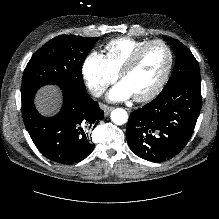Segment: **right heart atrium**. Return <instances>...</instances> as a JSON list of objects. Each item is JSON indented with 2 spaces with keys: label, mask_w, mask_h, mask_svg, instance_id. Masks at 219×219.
<instances>
[{
  "label": "right heart atrium",
  "mask_w": 219,
  "mask_h": 219,
  "mask_svg": "<svg viewBox=\"0 0 219 219\" xmlns=\"http://www.w3.org/2000/svg\"><path fill=\"white\" fill-rule=\"evenodd\" d=\"M82 74L86 85L96 96L101 95L117 77L105 55L99 51H91L86 56L82 65Z\"/></svg>",
  "instance_id": "right-heart-atrium-1"
}]
</instances>
